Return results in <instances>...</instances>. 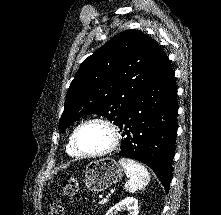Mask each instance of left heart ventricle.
I'll return each mask as SVG.
<instances>
[{
	"label": "left heart ventricle",
	"instance_id": "b2bd125f",
	"mask_svg": "<svg viewBox=\"0 0 221 215\" xmlns=\"http://www.w3.org/2000/svg\"><path fill=\"white\" fill-rule=\"evenodd\" d=\"M111 142L109 130L100 123L85 126L78 135L79 148L86 153H96L106 149Z\"/></svg>",
	"mask_w": 221,
	"mask_h": 215
}]
</instances>
